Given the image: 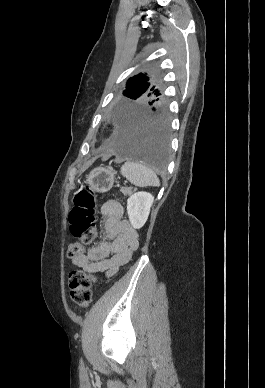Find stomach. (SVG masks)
Wrapping results in <instances>:
<instances>
[{"instance_id": "stomach-1", "label": "stomach", "mask_w": 265, "mask_h": 388, "mask_svg": "<svg viewBox=\"0 0 265 388\" xmlns=\"http://www.w3.org/2000/svg\"><path fill=\"white\" fill-rule=\"evenodd\" d=\"M115 174L112 168L98 167L90 172L87 182L91 190L104 193L112 188Z\"/></svg>"}]
</instances>
